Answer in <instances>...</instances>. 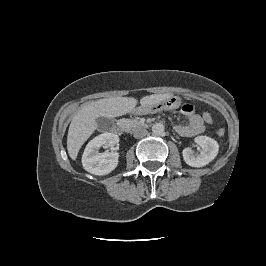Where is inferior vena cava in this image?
I'll return each mask as SVG.
<instances>
[{
  "label": "inferior vena cava",
  "instance_id": "obj_1",
  "mask_svg": "<svg viewBox=\"0 0 266 266\" xmlns=\"http://www.w3.org/2000/svg\"><path fill=\"white\" fill-rule=\"evenodd\" d=\"M147 130L144 128H139L134 131V137L135 138H142L147 134Z\"/></svg>",
  "mask_w": 266,
  "mask_h": 266
}]
</instances>
